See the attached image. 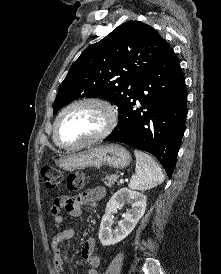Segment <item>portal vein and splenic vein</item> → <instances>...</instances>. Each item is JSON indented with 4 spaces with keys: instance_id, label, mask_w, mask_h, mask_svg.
<instances>
[{
    "instance_id": "obj_1",
    "label": "portal vein and splenic vein",
    "mask_w": 221,
    "mask_h": 274,
    "mask_svg": "<svg viewBox=\"0 0 221 274\" xmlns=\"http://www.w3.org/2000/svg\"><path fill=\"white\" fill-rule=\"evenodd\" d=\"M120 182L123 183L124 182L123 179H121Z\"/></svg>"
}]
</instances>
